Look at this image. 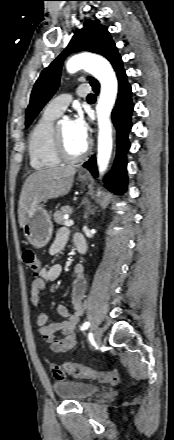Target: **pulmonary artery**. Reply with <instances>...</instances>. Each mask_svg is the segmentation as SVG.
Returning a JSON list of instances; mask_svg holds the SVG:
<instances>
[{"mask_svg": "<svg viewBox=\"0 0 174 440\" xmlns=\"http://www.w3.org/2000/svg\"><path fill=\"white\" fill-rule=\"evenodd\" d=\"M77 96L84 97L90 94V87L86 84H81L77 88ZM71 102V96L63 94L52 99L46 106L45 110L50 113L60 115L63 113Z\"/></svg>", "mask_w": 174, "mask_h": 440, "instance_id": "obj_1", "label": "pulmonary artery"}]
</instances>
